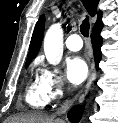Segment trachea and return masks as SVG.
<instances>
[{"label": "trachea", "instance_id": "trachea-1", "mask_svg": "<svg viewBox=\"0 0 118 123\" xmlns=\"http://www.w3.org/2000/svg\"><path fill=\"white\" fill-rule=\"evenodd\" d=\"M89 19L88 17H86L82 24L80 25V31H81V34L84 36V37H88L89 36Z\"/></svg>", "mask_w": 118, "mask_h": 123}]
</instances>
